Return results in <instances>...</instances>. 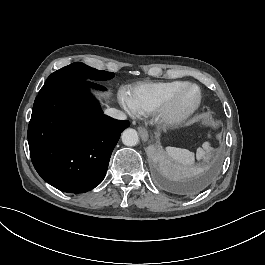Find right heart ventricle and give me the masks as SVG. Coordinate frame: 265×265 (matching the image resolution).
<instances>
[{
	"mask_svg": "<svg viewBox=\"0 0 265 265\" xmlns=\"http://www.w3.org/2000/svg\"><path fill=\"white\" fill-rule=\"evenodd\" d=\"M184 82L183 79H172L154 83H139L131 87L127 94L133 114L144 116L157 111Z\"/></svg>",
	"mask_w": 265,
	"mask_h": 265,
	"instance_id": "e07e8e85",
	"label": "right heart ventricle"
}]
</instances>
